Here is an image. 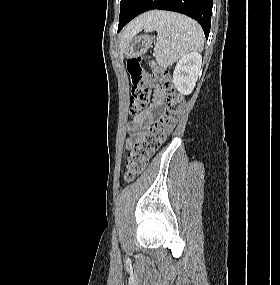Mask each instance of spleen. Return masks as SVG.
I'll use <instances>...</instances> for the list:
<instances>
[{
	"instance_id": "obj_1",
	"label": "spleen",
	"mask_w": 280,
	"mask_h": 285,
	"mask_svg": "<svg viewBox=\"0 0 280 285\" xmlns=\"http://www.w3.org/2000/svg\"><path fill=\"white\" fill-rule=\"evenodd\" d=\"M144 30L157 32L153 56L162 67L172 65L190 52L200 51L204 45L200 25L177 13L155 11Z\"/></svg>"
}]
</instances>
